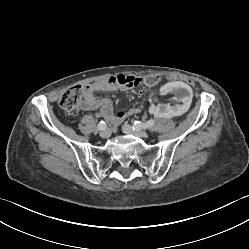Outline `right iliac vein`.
I'll use <instances>...</instances> for the list:
<instances>
[{
    "label": "right iliac vein",
    "instance_id": "obj_1",
    "mask_svg": "<svg viewBox=\"0 0 249 249\" xmlns=\"http://www.w3.org/2000/svg\"><path fill=\"white\" fill-rule=\"evenodd\" d=\"M110 135H111L110 129H103V130L100 132V136H101L102 138H108Z\"/></svg>",
    "mask_w": 249,
    "mask_h": 249
}]
</instances>
